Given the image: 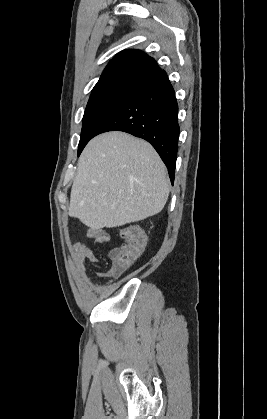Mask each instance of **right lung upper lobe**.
Wrapping results in <instances>:
<instances>
[{"label":"right lung upper lobe","instance_id":"1","mask_svg":"<svg viewBox=\"0 0 267 419\" xmlns=\"http://www.w3.org/2000/svg\"><path fill=\"white\" fill-rule=\"evenodd\" d=\"M161 71L156 61L140 50H124L106 66L91 95L137 87Z\"/></svg>","mask_w":267,"mask_h":419}]
</instances>
